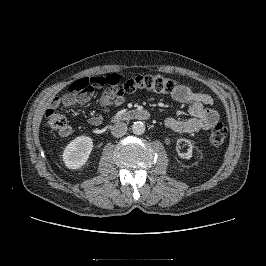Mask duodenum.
<instances>
[{
    "label": "duodenum",
    "instance_id": "410a0bca",
    "mask_svg": "<svg viewBox=\"0 0 266 266\" xmlns=\"http://www.w3.org/2000/svg\"><path fill=\"white\" fill-rule=\"evenodd\" d=\"M151 114L147 110L132 109L117 113L112 117V122L117 123L124 120H148Z\"/></svg>",
    "mask_w": 266,
    "mask_h": 266
}]
</instances>
